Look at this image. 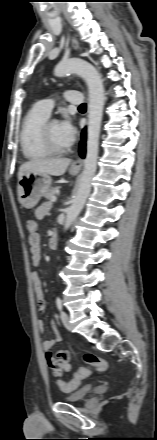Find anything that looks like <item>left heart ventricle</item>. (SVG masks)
I'll use <instances>...</instances> for the list:
<instances>
[{
    "label": "left heart ventricle",
    "instance_id": "left-heart-ventricle-1",
    "mask_svg": "<svg viewBox=\"0 0 157 440\" xmlns=\"http://www.w3.org/2000/svg\"><path fill=\"white\" fill-rule=\"evenodd\" d=\"M49 132H50L51 139L56 146H58V147H67L68 146V144L65 142V140L63 139V137L60 133L59 123H57V122L52 123L50 125Z\"/></svg>",
    "mask_w": 157,
    "mask_h": 440
}]
</instances>
